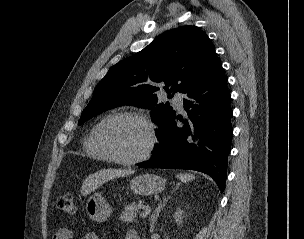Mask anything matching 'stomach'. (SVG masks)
I'll return each instance as SVG.
<instances>
[{
    "instance_id": "obj_1",
    "label": "stomach",
    "mask_w": 304,
    "mask_h": 239,
    "mask_svg": "<svg viewBox=\"0 0 304 239\" xmlns=\"http://www.w3.org/2000/svg\"><path fill=\"white\" fill-rule=\"evenodd\" d=\"M164 186V180L153 174L136 176L130 182L131 190L139 195L157 194L164 189ZM86 212L92 220L104 222L110 217L113 208L101 194L94 193L87 200Z\"/></svg>"
}]
</instances>
